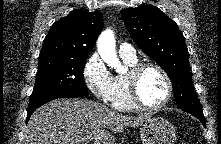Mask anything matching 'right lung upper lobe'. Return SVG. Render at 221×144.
Returning a JSON list of instances; mask_svg holds the SVG:
<instances>
[{"label": "right lung upper lobe", "mask_w": 221, "mask_h": 144, "mask_svg": "<svg viewBox=\"0 0 221 144\" xmlns=\"http://www.w3.org/2000/svg\"><path fill=\"white\" fill-rule=\"evenodd\" d=\"M102 29L103 16L100 11L76 9L53 23L39 58H86Z\"/></svg>", "instance_id": "cb5924a9"}]
</instances>
